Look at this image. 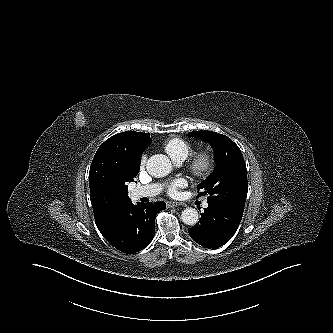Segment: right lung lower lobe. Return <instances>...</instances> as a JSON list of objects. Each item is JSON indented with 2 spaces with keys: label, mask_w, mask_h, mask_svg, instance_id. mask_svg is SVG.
Here are the masks:
<instances>
[{
  "label": "right lung lower lobe",
  "mask_w": 333,
  "mask_h": 333,
  "mask_svg": "<svg viewBox=\"0 0 333 333\" xmlns=\"http://www.w3.org/2000/svg\"><path fill=\"white\" fill-rule=\"evenodd\" d=\"M165 208L164 202L138 205L129 202L118 211L103 236L121 252L131 254L141 251L153 239L156 214Z\"/></svg>",
  "instance_id": "1"
}]
</instances>
